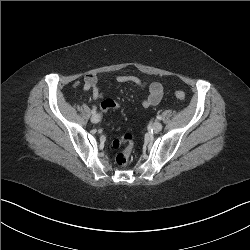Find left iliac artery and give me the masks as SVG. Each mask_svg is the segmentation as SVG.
<instances>
[{"instance_id":"left-iliac-artery-1","label":"left iliac artery","mask_w":250,"mask_h":250,"mask_svg":"<svg viewBox=\"0 0 250 250\" xmlns=\"http://www.w3.org/2000/svg\"><path fill=\"white\" fill-rule=\"evenodd\" d=\"M161 118H162V117H161L160 115L157 116V119H158V120H161Z\"/></svg>"}]
</instances>
